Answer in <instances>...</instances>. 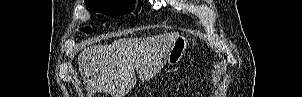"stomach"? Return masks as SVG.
<instances>
[{
	"mask_svg": "<svg viewBox=\"0 0 302 97\" xmlns=\"http://www.w3.org/2000/svg\"><path fill=\"white\" fill-rule=\"evenodd\" d=\"M189 47V41L187 37L179 35L174 44L172 45L165 63L168 67L176 66L182 58L185 56L186 50Z\"/></svg>",
	"mask_w": 302,
	"mask_h": 97,
	"instance_id": "1",
	"label": "stomach"
}]
</instances>
